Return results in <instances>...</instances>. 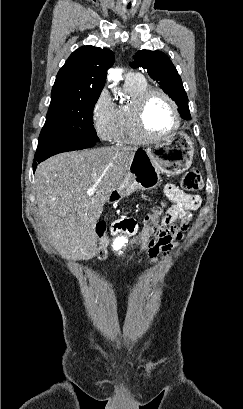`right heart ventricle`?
<instances>
[{"instance_id":"right-heart-ventricle-1","label":"right heart ventricle","mask_w":243,"mask_h":409,"mask_svg":"<svg viewBox=\"0 0 243 409\" xmlns=\"http://www.w3.org/2000/svg\"><path fill=\"white\" fill-rule=\"evenodd\" d=\"M125 91L130 98V102L126 105L116 107L117 112V129L114 141L119 144H133L140 140L136 137L129 118V108L132 102L144 91L148 89L147 82L142 79L140 81H125Z\"/></svg>"}]
</instances>
